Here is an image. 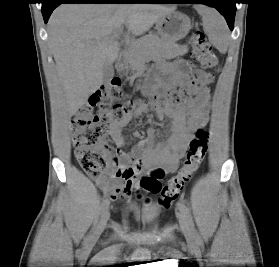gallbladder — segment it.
<instances>
[{"label":"gallbladder","mask_w":279,"mask_h":267,"mask_svg":"<svg viewBox=\"0 0 279 267\" xmlns=\"http://www.w3.org/2000/svg\"><path fill=\"white\" fill-rule=\"evenodd\" d=\"M114 76V67L111 63H106L103 67V83L108 85Z\"/></svg>","instance_id":"1"}]
</instances>
